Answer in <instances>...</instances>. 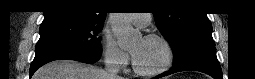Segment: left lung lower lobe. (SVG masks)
I'll use <instances>...</instances> for the list:
<instances>
[{
	"instance_id": "left-lung-lower-lobe-1",
	"label": "left lung lower lobe",
	"mask_w": 255,
	"mask_h": 79,
	"mask_svg": "<svg viewBox=\"0 0 255 79\" xmlns=\"http://www.w3.org/2000/svg\"><path fill=\"white\" fill-rule=\"evenodd\" d=\"M185 70L200 71L212 76L214 79H223L216 53H204L197 55L178 65H175L172 70L165 72L156 78H161Z\"/></svg>"
}]
</instances>
